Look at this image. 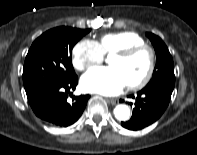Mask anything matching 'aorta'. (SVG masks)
<instances>
[{
	"instance_id": "762f6f07",
	"label": "aorta",
	"mask_w": 197,
	"mask_h": 155,
	"mask_svg": "<svg viewBox=\"0 0 197 155\" xmlns=\"http://www.w3.org/2000/svg\"><path fill=\"white\" fill-rule=\"evenodd\" d=\"M114 116L119 121H126L130 118V109L127 105H117L114 109Z\"/></svg>"
}]
</instances>
